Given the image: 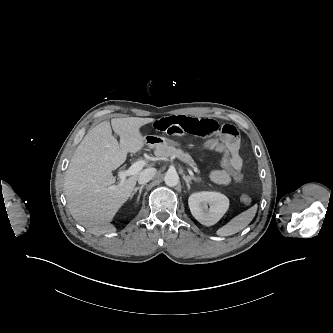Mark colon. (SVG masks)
<instances>
[{
    "label": "colon",
    "mask_w": 333,
    "mask_h": 333,
    "mask_svg": "<svg viewBox=\"0 0 333 333\" xmlns=\"http://www.w3.org/2000/svg\"><path fill=\"white\" fill-rule=\"evenodd\" d=\"M202 147L208 151L216 152L221 155V166L222 169L227 171L230 175L232 180L235 182H241L243 179V176L241 174V170L237 169L231 155L229 154L228 150L221 145L220 143L214 141V140H208L205 141L202 144ZM252 201L251 197L247 194H243L241 196V202L243 204H250Z\"/></svg>",
    "instance_id": "5ec220e1"
}]
</instances>
